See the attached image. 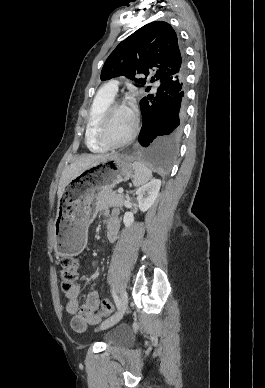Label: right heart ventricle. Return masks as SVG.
Masks as SVG:
<instances>
[{"label":"right heart ventricle","instance_id":"obj_1","mask_svg":"<svg viewBox=\"0 0 265 388\" xmlns=\"http://www.w3.org/2000/svg\"><path fill=\"white\" fill-rule=\"evenodd\" d=\"M116 97V91H99L97 98L94 100L89 115L87 119V127H86V142L88 147L92 151L101 152L105 151L107 148L100 144L95 137V126L97 119L101 113V111L110 103L114 102V98Z\"/></svg>","mask_w":265,"mask_h":388}]
</instances>
